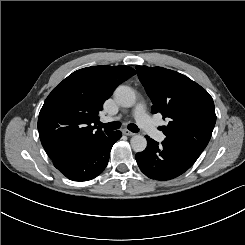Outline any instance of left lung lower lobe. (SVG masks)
Instances as JSON below:
<instances>
[{
  "label": "left lung lower lobe",
  "mask_w": 245,
  "mask_h": 245,
  "mask_svg": "<svg viewBox=\"0 0 245 245\" xmlns=\"http://www.w3.org/2000/svg\"><path fill=\"white\" fill-rule=\"evenodd\" d=\"M148 145L135 158L141 171L149 178L165 181L185 173L201 153L188 149L182 143L165 139L158 142L146 136Z\"/></svg>",
  "instance_id": "0a47b994"
}]
</instances>
